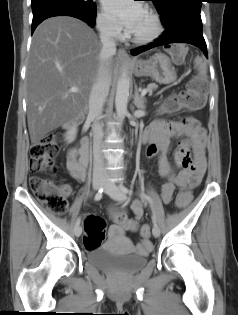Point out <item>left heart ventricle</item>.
<instances>
[{
	"instance_id": "1",
	"label": "left heart ventricle",
	"mask_w": 238,
	"mask_h": 315,
	"mask_svg": "<svg viewBox=\"0 0 238 315\" xmlns=\"http://www.w3.org/2000/svg\"><path fill=\"white\" fill-rule=\"evenodd\" d=\"M153 29L151 17L144 11L137 20L133 30L130 32L134 36L148 35Z\"/></svg>"
}]
</instances>
